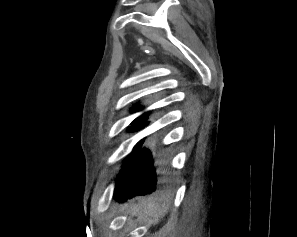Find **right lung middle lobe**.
Listing matches in <instances>:
<instances>
[{"label":"right lung middle lobe","instance_id":"1","mask_svg":"<svg viewBox=\"0 0 297 237\" xmlns=\"http://www.w3.org/2000/svg\"><path fill=\"white\" fill-rule=\"evenodd\" d=\"M145 121H146V120L133 122L132 124H136V125H135V126H132V127L129 129V131H136V130H138V129H141L142 127H144L145 125L148 124V123L145 122ZM141 142H142V141L138 142V143L135 145V147H134L132 153H131V154L128 156V158L125 160V168H124V170L126 169V166H127L128 162H129L131 156L133 155L134 151L137 149V147L139 146V144H140ZM123 172H124V171H123ZM123 172H122V174H123ZM122 174L120 175V177H119V179H118V181H117V186H118V184H119V181H120V178H121Z\"/></svg>","mask_w":297,"mask_h":237}]
</instances>
